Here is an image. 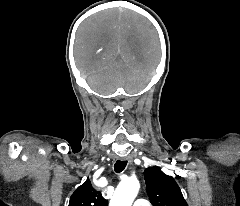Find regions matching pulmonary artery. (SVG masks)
Wrapping results in <instances>:
<instances>
[{
  "mask_svg": "<svg viewBox=\"0 0 240 206\" xmlns=\"http://www.w3.org/2000/svg\"><path fill=\"white\" fill-rule=\"evenodd\" d=\"M133 206H151L150 203L145 199H137Z\"/></svg>",
  "mask_w": 240,
  "mask_h": 206,
  "instance_id": "pulmonary-artery-1",
  "label": "pulmonary artery"
}]
</instances>
